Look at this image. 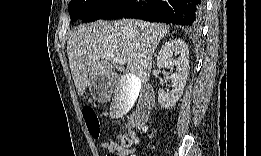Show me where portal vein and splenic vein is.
I'll list each match as a JSON object with an SVG mask.
<instances>
[{"label":"portal vein and splenic vein","mask_w":261,"mask_h":156,"mask_svg":"<svg viewBox=\"0 0 261 156\" xmlns=\"http://www.w3.org/2000/svg\"><path fill=\"white\" fill-rule=\"evenodd\" d=\"M101 57L110 60L114 64H119V65L126 64V60L125 59H120V58H117V57H113V56H110L108 54H103V55H101Z\"/></svg>","instance_id":"obj_1"}]
</instances>
